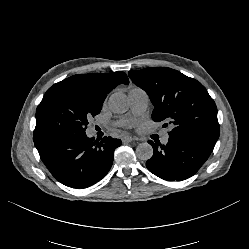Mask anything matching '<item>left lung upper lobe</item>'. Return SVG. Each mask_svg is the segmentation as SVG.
Segmentation results:
<instances>
[{
	"label": "left lung upper lobe",
	"instance_id": "1",
	"mask_svg": "<svg viewBox=\"0 0 249 249\" xmlns=\"http://www.w3.org/2000/svg\"><path fill=\"white\" fill-rule=\"evenodd\" d=\"M133 83L149 95L152 119L171 124L174 132H188L219 138L217 107L206 88L197 80L167 67L129 71Z\"/></svg>",
	"mask_w": 249,
	"mask_h": 249
}]
</instances>
